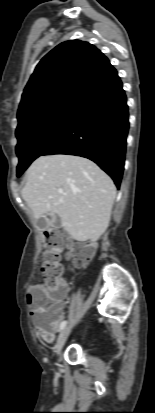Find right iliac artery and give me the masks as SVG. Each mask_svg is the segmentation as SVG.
<instances>
[{
	"label": "right iliac artery",
	"instance_id": "right-iliac-artery-1",
	"mask_svg": "<svg viewBox=\"0 0 155 413\" xmlns=\"http://www.w3.org/2000/svg\"><path fill=\"white\" fill-rule=\"evenodd\" d=\"M66 324H67V321H63V322L60 324V330H62V329L66 326Z\"/></svg>",
	"mask_w": 155,
	"mask_h": 413
}]
</instances>
